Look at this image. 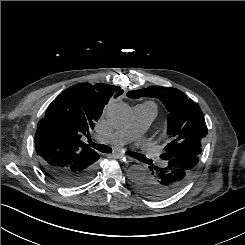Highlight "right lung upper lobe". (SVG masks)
I'll return each instance as SVG.
<instances>
[{"mask_svg":"<svg viewBox=\"0 0 245 245\" xmlns=\"http://www.w3.org/2000/svg\"><path fill=\"white\" fill-rule=\"evenodd\" d=\"M120 87L80 83L60 93L37 123L35 149L50 167H65L99 155L81 137L87 136L109 99L121 95Z\"/></svg>","mask_w":245,"mask_h":245,"instance_id":"obj_1","label":"right lung upper lobe"}]
</instances>
